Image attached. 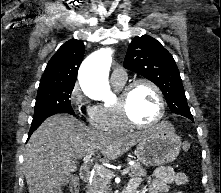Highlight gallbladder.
Wrapping results in <instances>:
<instances>
[{"mask_svg":"<svg viewBox=\"0 0 221 193\" xmlns=\"http://www.w3.org/2000/svg\"><path fill=\"white\" fill-rule=\"evenodd\" d=\"M71 177H72V175H68V176L64 177V178L62 179V185H63V186H66V185L69 183Z\"/></svg>","mask_w":221,"mask_h":193,"instance_id":"gallbladder-1","label":"gallbladder"}]
</instances>
